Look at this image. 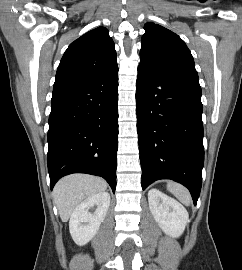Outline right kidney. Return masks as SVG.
I'll list each match as a JSON object with an SVG mask.
<instances>
[{"mask_svg":"<svg viewBox=\"0 0 242 270\" xmlns=\"http://www.w3.org/2000/svg\"><path fill=\"white\" fill-rule=\"evenodd\" d=\"M109 205V193L101 192L88 197L76 207L69 221L70 234L76 244L85 245L96 235ZM94 206L97 207L95 212L90 213Z\"/></svg>","mask_w":242,"mask_h":270,"instance_id":"right-kidney-1","label":"right kidney"}]
</instances>
